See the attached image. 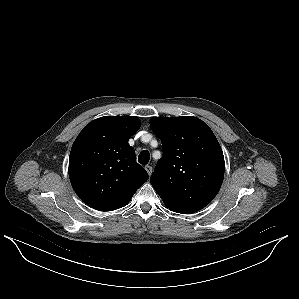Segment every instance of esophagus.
Returning <instances> with one entry per match:
<instances>
[{
  "instance_id": "34e87169",
  "label": "esophagus",
  "mask_w": 299,
  "mask_h": 299,
  "mask_svg": "<svg viewBox=\"0 0 299 299\" xmlns=\"http://www.w3.org/2000/svg\"><path fill=\"white\" fill-rule=\"evenodd\" d=\"M145 170L147 171L148 175L151 176L153 168L150 165H146Z\"/></svg>"
}]
</instances>
